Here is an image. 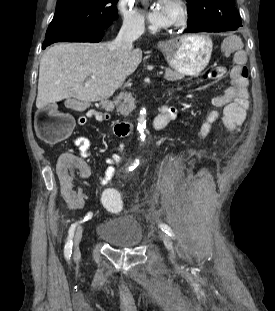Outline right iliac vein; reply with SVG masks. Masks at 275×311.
I'll use <instances>...</instances> for the list:
<instances>
[{"mask_svg":"<svg viewBox=\"0 0 275 311\" xmlns=\"http://www.w3.org/2000/svg\"><path fill=\"white\" fill-rule=\"evenodd\" d=\"M82 234H83V225L78 227L74 236V259H78L80 257L79 244L81 242Z\"/></svg>","mask_w":275,"mask_h":311,"instance_id":"63e3f726","label":"right iliac vein"}]
</instances>
